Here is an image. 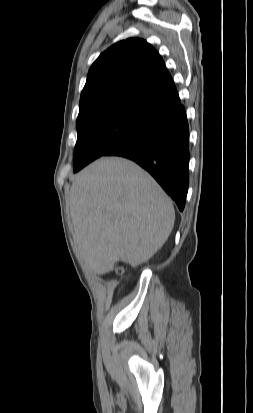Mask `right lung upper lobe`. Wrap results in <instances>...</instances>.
<instances>
[{
    "instance_id": "obj_1",
    "label": "right lung upper lobe",
    "mask_w": 253,
    "mask_h": 413,
    "mask_svg": "<svg viewBox=\"0 0 253 413\" xmlns=\"http://www.w3.org/2000/svg\"><path fill=\"white\" fill-rule=\"evenodd\" d=\"M181 104L175 84L158 52L131 38L103 52L89 69L79 117L113 107L152 115Z\"/></svg>"
}]
</instances>
